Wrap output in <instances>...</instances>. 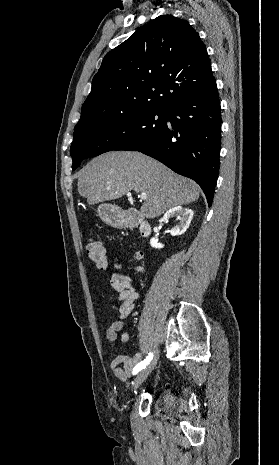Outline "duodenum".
I'll return each mask as SVG.
<instances>
[{"instance_id":"410a0bca","label":"duodenum","mask_w":279,"mask_h":465,"mask_svg":"<svg viewBox=\"0 0 279 465\" xmlns=\"http://www.w3.org/2000/svg\"><path fill=\"white\" fill-rule=\"evenodd\" d=\"M123 225L125 227H139L140 235L143 238L149 237L151 234V227L150 225L145 222L138 213L136 212H129L125 215L123 219Z\"/></svg>"}]
</instances>
